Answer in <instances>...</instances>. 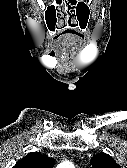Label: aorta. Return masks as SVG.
I'll return each mask as SVG.
<instances>
[{
    "label": "aorta",
    "mask_w": 127,
    "mask_h": 168,
    "mask_svg": "<svg viewBox=\"0 0 127 168\" xmlns=\"http://www.w3.org/2000/svg\"><path fill=\"white\" fill-rule=\"evenodd\" d=\"M57 168H74V166L69 162H63Z\"/></svg>",
    "instance_id": "obj_1"
}]
</instances>
